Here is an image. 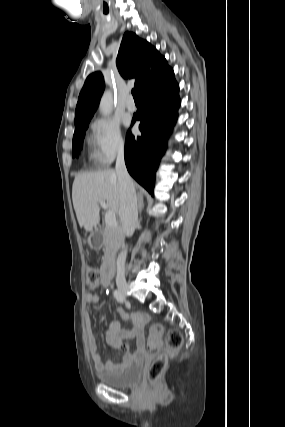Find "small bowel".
<instances>
[{
    "mask_svg": "<svg viewBox=\"0 0 285 427\" xmlns=\"http://www.w3.org/2000/svg\"><path fill=\"white\" fill-rule=\"evenodd\" d=\"M103 266L104 264L98 269L99 283L100 285L107 287L109 285L110 279H107L105 281V276L103 274ZM86 301L89 304H98L100 302V296L88 290L86 292ZM118 313L122 321L132 322L133 326L130 328H124L122 327V324L119 321L112 322L110 326L104 330V338L107 346L113 350H118L122 347V339L135 338L137 342V350L134 353H125L118 362L108 361L106 363H103L100 353L98 351L95 336L92 332L91 319L89 316H87V338L89 342L91 358L97 371H117L120 370L124 365L133 361H139L147 355L143 334L144 326L148 321L147 314L140 311H135L131 314H128L123 308H118Z\"/></svg>",
    "mask_w": 285,
    "mask_h": 427,
    "instance_id": "1",
    "label": "small bowel"
}]
</instances>
